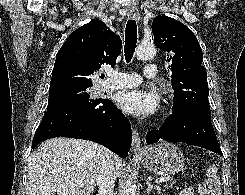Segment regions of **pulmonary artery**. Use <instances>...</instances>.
Here are the masks:
<instances>
[{
	"label": "pulmonary artery",
	"mask_w": 245,
	"mask_h": 195,
	"mask_svg": "<svg viewBox=\"0 0 245 195\" xmlns=\"http://www.w3.org/2000/svg\"><path fill=\"white\" fill-rule=\"evenodd\" d=\"M155 68L156 65L153 63H149L148 65H146L144 77L146 79L154 78L156 76ZM141 82L142 78L135 73L114 71L109 74L107 80L101 83V87L104 89L118 90L136 87L140 85Z\"/></svg>",
	"instance_id": "obj_1"
}]
</instances>
